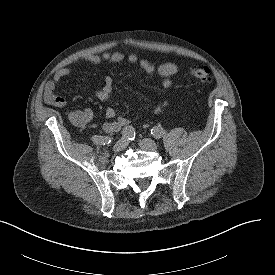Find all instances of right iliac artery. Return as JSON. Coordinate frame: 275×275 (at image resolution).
<instances>
[{"instance_id": "1", "label": "right iliac artery", "mask_w": 275, "mask_h": 275, "mask_svg": "<svg viewBox=\"0 0 275 275\" xmlns=\"http://www.w3.org/2000/svg\"><path fill=\"white\" fill-rule=\"evenodd\" d=\"M122 135L127 139H134L135 137V130L132 126H126L123 131ZM92 140L95 144L98 145H105L110 144L113 141V138L110 136H93Z\"/></svg>"}]
</instances>
